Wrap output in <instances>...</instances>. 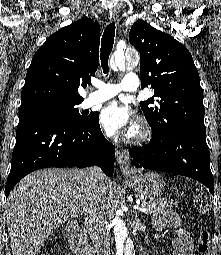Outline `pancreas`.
<instances>
[{"label":"pancreas","instance_id":"cf45deb5","mask_svg":"<svg viewBox=\"0 0 221 255\" xmlns=\"http://www.w3.org/2000/svg\"><path fill=\"white\" fill-rule=\"evenodd\" d=\"M173 200L162 199H142L141 206L147 208V214L159 215L162 214L168 207L173 206Z\"/></svg>","mask_w":221,"mask_h":255}]
</instances>
